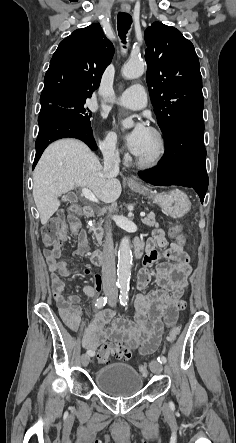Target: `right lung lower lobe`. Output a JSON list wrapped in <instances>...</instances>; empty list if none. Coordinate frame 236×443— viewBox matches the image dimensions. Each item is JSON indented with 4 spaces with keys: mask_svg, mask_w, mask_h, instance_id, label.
Listing matches in <instances>:
<instances>
[{
    "mask_svg": "<svg viewBox=\"0 0 236 443\" xmlns=\"http://www.w3.org/2000/svg\"><path fill=\"white\" fill-rule=\"evenodd\" d=\"M39 134L35 143L36 155L33 168L44 149L53 141L61 138H77L86 143L91 150L97 149L90 124L69 114L56 105L41 107L38 118Z\"/></svg>",
    "mask_w": 236,
    "mask_h": 443,
    "instance_id": "1",
    "label": "right lung lower lobe"
}]
</instances>
